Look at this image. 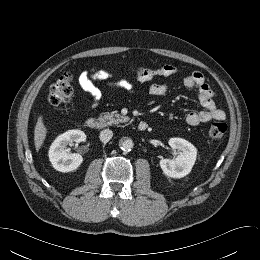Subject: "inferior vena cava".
Segmentation results:
<instances>
[{
  "label": "inferior vena cava",
  "instance_id": "1",
  "mask_svg": "<svg viewBox=\"0 0 260 260\" xmlns=\"http://www.w3.org/2000/svg\"><path fill=\"white\" fill-rule=\"evenodd\" d=\"M113 136V132L109 129H104L100 132V140L107 143Z\"/></svg>",
  "mask_w": 260,
  "mask_h": 260
}]
</instances>
